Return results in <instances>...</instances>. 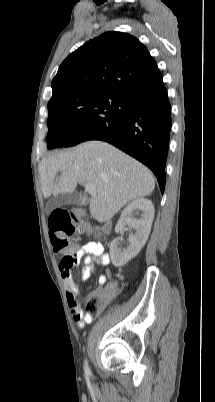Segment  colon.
Here are the masks:
<instances>
[{"label":"colon","instance_id":"1","mask_svg":"<svg viewBox=\"0 0 215 402\" xmlns=\"http://www.w3.org/2000/svg\"><path fill=\"white\" fill-rule=\"evenodd\" d=\"M76 231L91 234V228L74 219L66 210H56L49 218V236L53 249L57 253H62L63 258L60 262L62 267H67L71 272H75L78 266L77 261L73 258L76 256V250L82 249L81 241H68V237L72 236ZM106 298L97 293H89L86 297L85 313L91 316L97 315Z\"/></svg>","mask_w":215,"mask_h":402}]
</instances>
